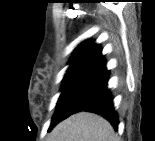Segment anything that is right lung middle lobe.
I'll use <instances>...</instances> for the list:
<instances>
[{"label": "right lung middle lobe", "mask_w": 155, "mask_h": 141, "mask_svg": "<svg viewBox=\"0 0 155 141\" xmlns=\"http://www.w3.org/2000/svg\"><path fill=\"white\" fill-rule=\"evenodd\" d=\"M91 71L67 72L62 81L61 95L53 115L50 128L54 127L62 118V108L70 98L94 75ZM49 128V129H50Z\"/></svg>", "instance_id": "obj_1"}]
</instances>
